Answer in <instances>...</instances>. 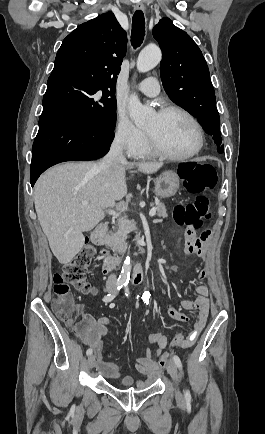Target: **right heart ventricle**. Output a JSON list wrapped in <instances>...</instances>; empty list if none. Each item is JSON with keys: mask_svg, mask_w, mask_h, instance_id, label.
<instances>
[{"mask_svg": "<svg viewBox=\"0 0 265 434\" xmlns=\"http://www.w3.org/2000/svg\"><path fill=\"white\" fill-rule=\"evenodd\" d=\"M132 156L136 159H148L152 156V152L150 150L149 145L147 144L146 149L144 151H140V154H132Z\"/></svg>", "mask_w": 265, "mask_h": 434, "instance_id": "obj_1", "label": "right heart ventricle"}]
</instances>
